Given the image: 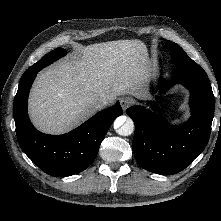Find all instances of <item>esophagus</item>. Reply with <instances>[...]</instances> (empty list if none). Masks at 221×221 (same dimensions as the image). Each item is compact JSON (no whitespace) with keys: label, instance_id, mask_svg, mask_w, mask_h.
<instances>
[{"label":"esophagus","instance_id":"1","mask_svg":"<svg viewBox=\"0 0 221 221\" xmlns=\"http://www.w3.org/2000/svg\"><path fill=\"white\" fill-rule=\"evenodd\" d=\"M133 99L130 97H122L120 99V104L123 110H126L129 106L133 104Z\"/></svg>","mask_w":221,"mask_h":221}]
</instances>
